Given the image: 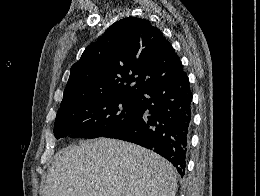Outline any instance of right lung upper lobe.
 Returning <instances> with one entry per match:
<instances>
[{"label": "right lung upper lobe", "mask_w": 260, "mask_h": 196, "mask_svg": "<svg viewBox=\"0 0 260 196\" xmlns=\"http://www.w3.org/2000/svg\"><path fill=\"white\" fill-rule=\"evenodd\" d=\"M182 71L160 29L148 20L127 17L110 26L71 67L59 110L100 94L138 97Z\"/></svg>", "instance_id": "1"}]
</instances>
